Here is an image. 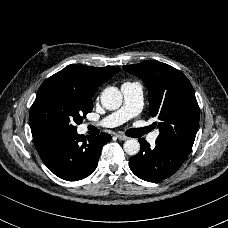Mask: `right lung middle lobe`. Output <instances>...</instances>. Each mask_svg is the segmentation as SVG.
<instances>
[{"label":"right lung middle lobe","mask_w":228,"mask_h":228,"mask_svg":"<svg viewBox=\"0 0 228 228\" xmlns=\"http://www.w3.org/2000/svg\"><path fill=\"white\" fill-rule=\"evenodd\" d=\"M93 109L91 98L72 83L50 77L40 86L30 109L33 138L56 131H76Z\"/></svg>","instance_id":"1"}]
</instances>
